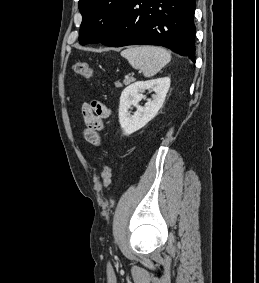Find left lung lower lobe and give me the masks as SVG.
<instances>
[{"instance_id": "left-lung-lower-lobe-1", "label": "left lung lower lobe", "mask_w": 259, "mask_h": 283, "mask_svg": "<svg viewBox=\"0 0 259 283\" xmlns=\"http://www.w3.org/2000/svg\"><path fill=\"white\" fill-rule=\"evenodd\" d=\"M195 0H130L103 45H159L195 62Z\"/></svg>"}]
</instances>
